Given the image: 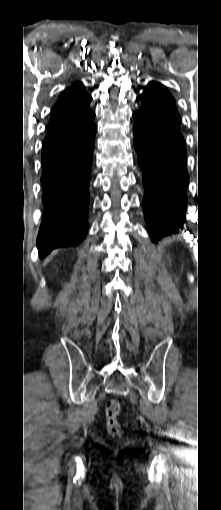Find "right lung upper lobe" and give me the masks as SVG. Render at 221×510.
Instances as JSON below:
<instances>
[{
    "mask_svg": "<svg viewBox=\"0 0 221 510\" xmlns=\"http://www.w3.org/2000/svg\"><path fill=\"white\" fill-rule=\"evenodd\" d=\"M91 100L81 82L69 87L53 107L46 137H59L83 128L95 116L89 107Z\"/></svg>",
    "mask_w": 221,
    "mask_h": 510,
    "instance_id": "right-lung-upper-lobe-1",
    "label": "right lung upper lobe"
}]
</instances>
